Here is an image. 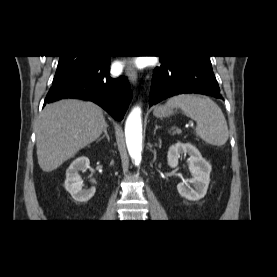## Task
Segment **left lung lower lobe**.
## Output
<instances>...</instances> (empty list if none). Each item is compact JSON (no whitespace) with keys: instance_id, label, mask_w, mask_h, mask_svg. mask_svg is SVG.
<instances>
[{"instance_id":"obj_1","label":"left lung lower lobe","mask_w":277,"mask_h":277,"mask_svg":"<svg viewBox=\"0 0 277 277\" xmlns=\"http://www.w3.org/2000/svg\"><path fill=\"white\" fill-rule=\"evenodd\" d=\"M153 72L150 106L182 93H198L220 98V89L209 58L185 55L160 56Z\"/></svg>"}]
</instances>
